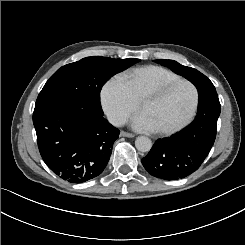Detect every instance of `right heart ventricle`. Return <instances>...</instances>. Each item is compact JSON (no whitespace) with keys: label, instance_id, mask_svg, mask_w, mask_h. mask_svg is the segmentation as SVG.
<instances>
[{"label":"right heart ventricle","instance_id":"obj_1","mask_svg":"<svg viewBox=\"0 0 245 245\" xmlns=\"http://www.w3.org/2000/svg\"><path fill=\"white\" fill-rule=\"evenodd\" d=\"M116 79L128 89L137 102L142 90L148 85L165 84L181 78L163 67L148 65L127 70L116 76Z\"/></svg>","mask_w":245,"mask_h":245}]
</instances>
